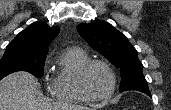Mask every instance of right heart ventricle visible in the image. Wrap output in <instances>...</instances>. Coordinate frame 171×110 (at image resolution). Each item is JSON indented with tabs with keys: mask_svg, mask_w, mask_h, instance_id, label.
Wrapping results in <instances>:
<instances>
[{
	"mask_svg": "<svg viewBox=\"0 0 171 110\" xmlns=\"http://www.w3.org/2000/svg\"><path fill=\"white\" fill-rule=\"evenodd\" d=\"M90 60L88 53L80 47H70L61 53L50 82V91L55 99L71 103L90 102L78 86L79 72Z\"/></svg>",
	"mask_w": 171,
	"mask_h": 110,
	"instance_id": "right-heart-ventricle-1",
	"label": "right heart ventricle"
}]
</instances>
